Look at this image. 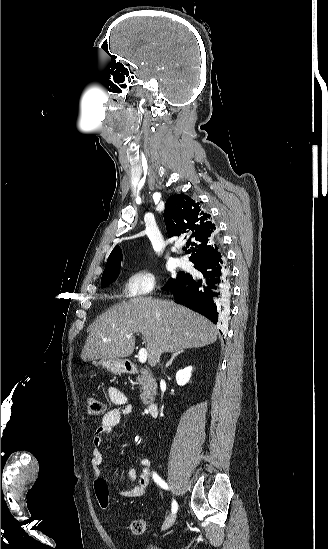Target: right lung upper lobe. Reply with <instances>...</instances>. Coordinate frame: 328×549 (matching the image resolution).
Returning a JSON list of instances; mask_svg holds the SVG:
<instances>
[{
    "mask_svg": "<svg viewBox=\"0 0 328 549\" xmlns=\"http://www.w3.org/2000/svg\"><path fill=\"white\" fill-rule=\"evenodd\" d=\"M164 220L169 237L188 238L187 245L192 246L189 260L194 264L222 256L218 230L210 214L189 196L178 194L170 197L165 204ZM121 260V249L116 246L108 257L104 272Z\"/></svg>",
    "mask_w": 328,
    "mask_h": 549,
    "instance_id": "right-lung-upper-lobe-1",
    "label": "right lung upper lobe"
}]
</instances>
